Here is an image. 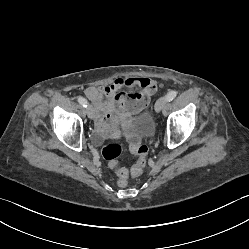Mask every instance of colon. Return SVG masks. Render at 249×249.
Instances as JSON below:
<instances>
[{
	"label": "colon",
	"instance_id": "colon-1",
	"mask_svg": "<svg viewBox=\"0 0 249 249\" xmlns=\"http://www.w3.org/2000/svg\"><path fill=\"white\" fill-rule=\"evenodd\" d=\"M131 152L138 156V162L130 169L133 177L139 176L146 165V157L148 154V146L143 140L139 139L131 144ZM123 152V148L118 143H111L104 146L101 150L102 157L109 162V167L118 174V184L125 187L128 184V171L120 166L117 158Z\"/></svg>",
	"mask_w": 249,
	"mask_h": 249
}]
</instances>
